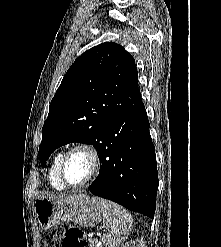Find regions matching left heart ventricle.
Returning <instances> with one entry per match:
<instances>
[{"instance_id":"b2bd125f","label":"left heart ventricle","mask_w":221,"mask_h":247,"mask_svg":"<svg viewBox=\"0 0 221 247\" xmlns=\"http://www.w3.org/2000/svg\"><path fill=\"white\" fill-rule=\"evenodd\" d=\"M90 172L89 157L83 152L73 153L67 160L65 176L72 184L82 182Z\"/></svg>"}]
</instances>
